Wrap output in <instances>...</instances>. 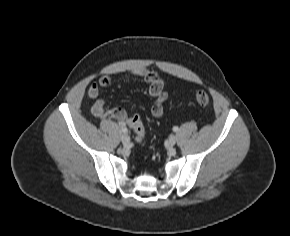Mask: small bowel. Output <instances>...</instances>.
Returning a JSON list of instances; mask_svg holds the SVG:
<instances>
[{
    "label": "small bowel",
    "mask_w": 290,
    "mask_h": 236,
    "mask_svg": "<svg viewBox=\"0 0 290 236\" xmlns=\"http://www.w3.org/2000/svg\"><path fill=\"white\" fill-rule=\"evenodd\" d=\"M131 77L141 78L149 87L148 92L153 99L151 105V114L159 118L163 115V103L167 99V91L165 82L155 72L147 68H136L124 75L125 79ZM113 81L110 75H103L99 78L98 82L93 83L87 91V96L94 100L92 106V113L99 118L111 117L116 119L120 125H125L129 121L127 113L121 108L105 109V101L99 98L100 88H108L112 85Z\"/></svg>",
    "instance_id": "obj_1"
}]
</instances>
